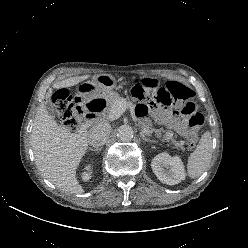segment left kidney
I'll use <instances>...</instances> for the list:
<instances>
[{
	"label": "left kidney",
	"mask_w": 248,
	"mask_h": 248,
	"mask_svg": "<svg viewBox=\"0 0 248 248\" xmlns=\"http://www.w3.org/2000/svg\"><path fill=\"white\" fill-rule=\"evenodd\" d=\"M151 167L157 178L167 185H175L185 179L184 165L179 156L160 153L152 159Z\"/></svg>",
	"instance_id": "left-kidney-1"
}]
</instances>
